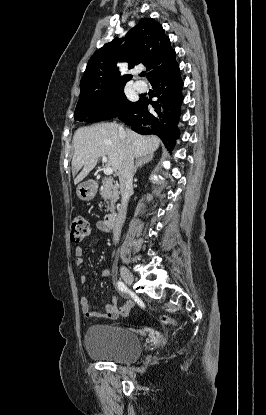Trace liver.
Masks as SVG:
<instances>
[{"label":"liver","instance_id":"6515ba94","mask_svg":"<svg viewBox=\"0 0 266 415\" xmlns=\"http://www.w3.org/2000/svg\"><path fill=\"white\" fill-rule=\"evenodd\" d=\"M117 123L106 122L93 126L80 127L73 136L74 155L72 159V174L75 176L74 184L81 182L96 166L98 159L108 157V166L118 171L121 164L123 147L125 146L133 155L140 158L153 154L160 145L156 136H142L130 129L124 130L121 136Z\"/></svg>","mask_w":266,"mask_h":415}]
</instances>
